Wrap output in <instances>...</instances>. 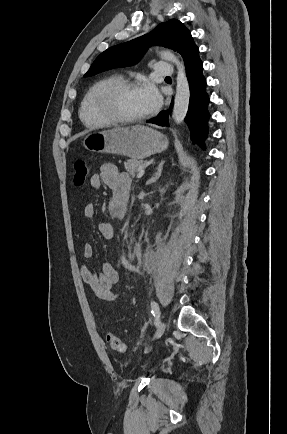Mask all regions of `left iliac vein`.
I'll return each mask as SVG.
<instances>
[{"label":"left iliac vein","instance_id":"left-iliac-vein-1","mask_svg":"<svg viewBox=\"0 0 287 434\" xmlns=\"http://www.w3.org/2000/svg\"><path fill=\"white\" fill-rule=\"evenodd\" d=\"M165 328H166V323L164 321H161L156 328V331H155V334H154L152 340H156V339L160 338L163 335Z\"/></svg>","mask_w":287,"mask_h":434}]
</instances>
